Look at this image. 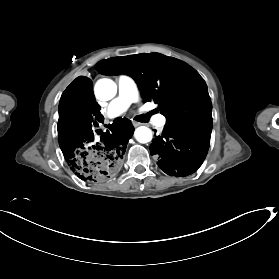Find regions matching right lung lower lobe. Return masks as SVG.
Returning <instances> with one entry per match:
<instances>
[{"instance_id": "right-lung-lower-lobe-1", "label": "right lung lower lobe", "mask_w": 279, "mask_h": 279, "mask_svg": "<svg viewBox=\"0 0 279 279\" xmlns=\"http://www.w3.org/2000/svg\"><path fill=\"white\" fill-rule=\"evenodd\" d=\"M95 102L93 83L76 78L59 103L58 139L69 168L87 182H104L120 170L128 140L134 132L127 118H117L109 130L96 136L92 127L103 123Z\"/></svg>"}]
</instances>
